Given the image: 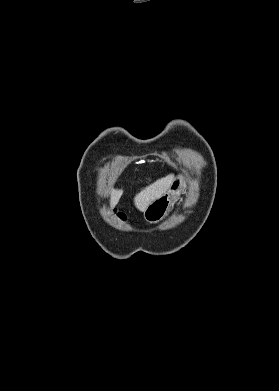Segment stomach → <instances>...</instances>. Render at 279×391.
I'll list each match as a JSON object with an SVG mask.
<instances>
[{
    "label": "stomach",
    "mask_w": 279,
    "mask_h": 391,
    "mask_svg": "<svg viewBox=\"0 0 279 391\" xmlns=\"http://www.w3.org/2000/svg\"><path fill=\"white\" fill-rule=\"evenodd\" d=\"M184 186V179L182 176L176 177L167 193L160 198L153 201L144 211V219L149 223H158L168 213L174 201L180 195L182 187Z\"/></svg>",
    "instance_id": "0dacf381"
}]
</instances>
